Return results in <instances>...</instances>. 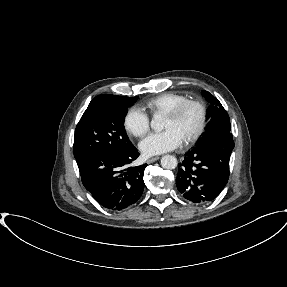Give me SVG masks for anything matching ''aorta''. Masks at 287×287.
Wrapping results in <instances>:
<instances>
[{"instance_id": "aorta-1", "label": "aorta", "mask_w": 287, "mask_h": 287, "mask_svg": "<svg viewBox=\"0 0 287 287\" xmlns=\"http://www.w3.org/2000/svg\"><path fill=\"white\" fill-rule=\"evenodd\" d=\"M151 127L155 130H161L162 125L157 116H154V118L151 120ZM177 159L173 155H164L161 158V166L164 169H175L177 167Z\"/></svg>"}]
</instances>
